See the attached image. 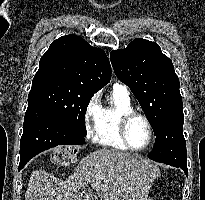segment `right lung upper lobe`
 <instances>
[{
	"label": "right lung upper lobe",
	"mask_w": 205,
	"mask_h": 200,
	"mask_svg": "<svg viewBox=\"0 0 205 200\" xmlns=\"http://www.w3.org/2000/svg\"><path fill=\"white\" fill-rule=\"evenodd\" d=\"M55 78L97 92L111 79V66L105 52L77 35L53 41L41 57L33 80Z\"/></svg>",
	"instance_id": "right-lung-upper-lobe-1"
}]
</instances>
